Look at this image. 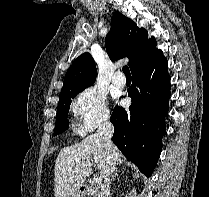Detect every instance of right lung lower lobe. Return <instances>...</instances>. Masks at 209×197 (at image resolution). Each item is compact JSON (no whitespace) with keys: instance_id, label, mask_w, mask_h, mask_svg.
Instances as JSON below:
<instances>
[{"instance_id":"98d812e1","label":"right lung lower lobe","mask_w":209,"mask_h":197,"mask_svg":"<svg viewBox=\"0 0 209 197\" xmlns=\"http://www.w3.org/2000/svg\"><path fill=\"white\" fill-rule=\"evenodd\" d=\"M133 86L129 109L116 106L110 121L114 125L112 141L125 157L148 178L157 165L166 131L165 116L170 98V78L162 52L132 71Z\"/></svg>"}]
</instances>
